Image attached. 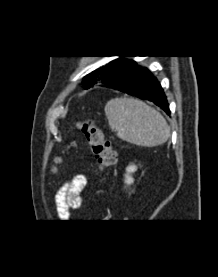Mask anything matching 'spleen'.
Listing matches in <instances>:
<instances>
[{"instance_id":"3e777b00","label":"spleen","mask_w":218,"mask_h":277,"mask_svg":"<svg viewBox=\"0 0 218 277\" xmlns=\"http://www.w3.org/2000/svg\"><path fill=\"white\" fill-rule=\"evenodd\" d=\"M104 110L109 127L129 143L153 147L165 143L170 136L165 118L141 100L114 98Z\"/></svg>"}]
</instances>
